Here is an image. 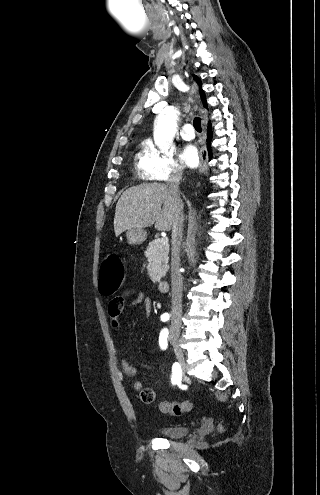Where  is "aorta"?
<instances>
[{"label":"aorta","mask_w":320,"mask_h":495,"mask_svg":"<svg viewBox=\"0 0 320 495\" xmlns=\"http://www.w3.org/2000/svg\"><path fill=\"white\" fill-rule=\"evenodd\" d=\"M179 111L174 106H167L154 121V142L162 151L167 152L173 145L176 134Z\"/></svg>","instance_id":"762f6f07"}]
</instances>
